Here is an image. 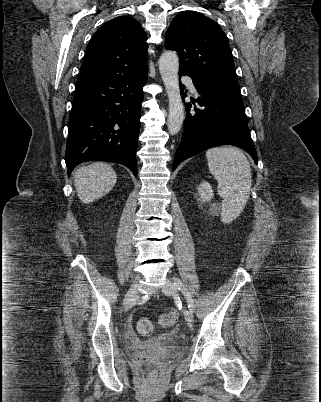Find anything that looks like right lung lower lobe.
Segmentation results:
<instances>
[{
  "label": "right lung lower lobe",
  "mask_w": 321,
  "mask_h": 402,
  "mask_svg": "<svg viewBox=\"0 0 321 402\" xmlns=\"http://www.w3.org/2000/svg\"><path fill=\"white\" fill-rule=\"evenodd\" d=\"M147 71L76 83L68 127V175L78 164L106 160L129 167L137 177L143 85Z\"/></svg>",
  "instance_id": "1"
}]
</instances>
